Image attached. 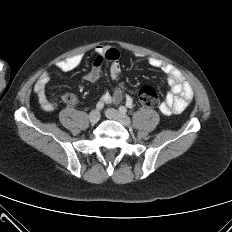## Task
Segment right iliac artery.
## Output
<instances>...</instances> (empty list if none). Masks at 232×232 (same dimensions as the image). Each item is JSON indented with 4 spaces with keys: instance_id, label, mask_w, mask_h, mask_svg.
Returning a JSON list of instances; mask_svg holds the SVG:
<instances>
[{
    "instance_id": "1",
    "label": "right iliac artery",
    "mask_w": 232,
    "mask_h": 232,
    "mask_svg": "<svg viewBox=\"0 0 232 232\" xmlns=\"http://www.w3.org/2000/svg\"><path fill=\"white\" fill-rule=\"evenodd\" d=\"M103 107H104V103L103 102H98L97 103V105H96V108H97V110H102L103 109Z\"/></svg>"
}]
</instances>
